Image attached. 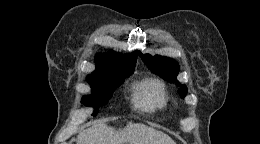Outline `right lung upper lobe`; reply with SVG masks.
Returning <instances> with one entry per match:
<instances>
[{
  "instance_id": "1",
  "label": "right lung upper lobe",
  "mask_w": 260,
  "mask_h": 144,
  "mask_svg": "<svg viewBox=\"0 0 260 144\" xmlns=\"http://www.w3.org/2000/svg\"><path fill=\"white\" fill-rule=\"evenodd\" d=\"M137 54V51L128 55H123L114 51H110L107 54H97L95 56L96 70L93 74L87 77L121 74L134 71Z\"/></svg>"
}]
</instances>
